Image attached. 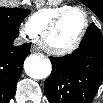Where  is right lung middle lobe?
Masks as SVG:
<instances>
[{
    "instance_id": "1",
    "label": "right lung middle lobe",
    "mask_w": 103,
    "mask_h": 103,
    "mask_svg": "<svg viewBox=\"0 0 103 103\" xmlns=\"http://www.w3.org/2000/svg\"><path fill=\"white\" fill-rule=\"evenodd\" d=\"M29 13L27 9L0 8V31L19 35V26Z\"/></svg>"
}]
</instances>
